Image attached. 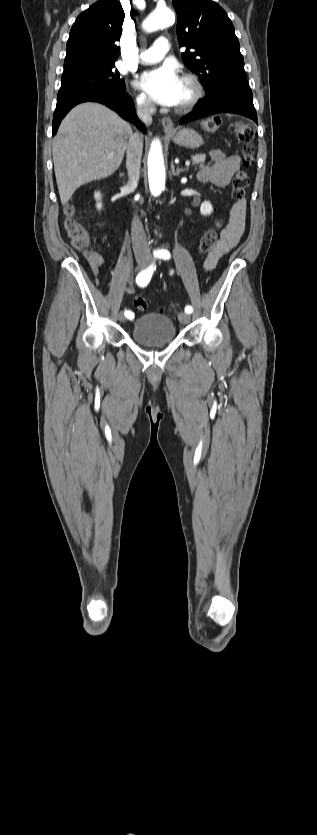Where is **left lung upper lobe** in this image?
<instances>
[{"label":"left lung upper lobe","instance_id":"left-lung-upper-lobe-1","mask_svg":"<svg viewBox=\"0 0 317 835\" xmlns=\"http://www.w3.org/2000/svg\"><path fill=\"white\" fill-rule=\"evenodd\" d=\"M185 65L201 80L206 98H216L234 81H247L235 29L226 12L210 0H173Z\"/></svg>","mask_w":317,"mask_h":835}]
</instances>
